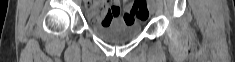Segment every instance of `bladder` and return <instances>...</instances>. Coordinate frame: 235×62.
<instances>
[{
	"instance_id": "bladder-1",
	"label": "bladder",
	"mask_w": 235,
	"mask_h": 62,
	"mask_svg": "<svg viewBox=\"0 0 235 62\" xmlns=\"http://www.w3.org/2000/svg\"><path fill=\"white\" fill-rule=\"evenodd\" d=\"M92 32L100 39L113 43H124L136 38L142 30L139 20L125 22L117 20L111 25L91 24Z\"/></svg>"
}]
</instances>
